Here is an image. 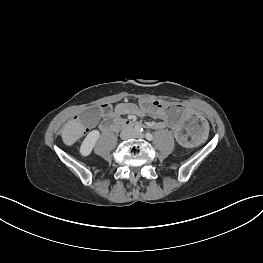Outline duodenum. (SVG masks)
Instances as JSON below:
<instances>
[{"label": "duodenum", "mask_w": 263, "mask_h": 263, "mask_svg": "<svg viewBox=\"0 0 263 263\" xmlns=\"http://www.w3.org/2000/svg\"><path fill=\"white\" fill-rule=\"evenodd\" d=\"M106 128L109 129H115V128H129V127H137L138 124H136L133 121L130 120H121L118 119L114 116L109 117L108 119H106L105 123H104Z\"/></svg>", "instance_id": "410a0bca"}]
</instances>
